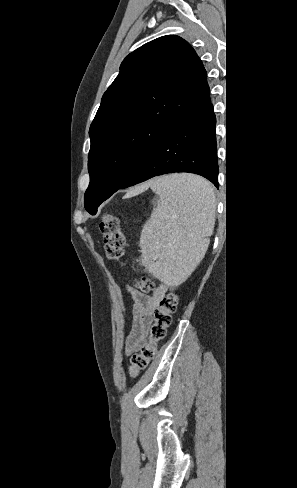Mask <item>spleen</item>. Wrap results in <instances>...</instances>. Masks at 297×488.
<instances>
[{
  "label": "spleen",
  "instance_id": "obj_1",
  "mask_svg": "<svg viewBox=\"0 0 297 488\" xmlns=\"http://www.w3.org/2000/svg\"><path fill=\"white\" fill-rule=\"evenodd\" d=\"M151 189L159 200L141 232L142 263L161 281L181 282L212 233L215 195L205 179L189 174L155 178Z\"/></svg>",
  "mask_w": 297,
  "mask_h": 488
}]
</instances>
